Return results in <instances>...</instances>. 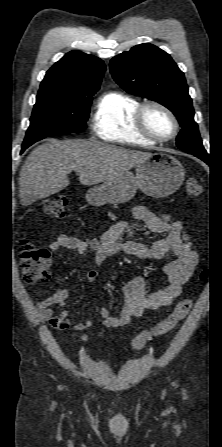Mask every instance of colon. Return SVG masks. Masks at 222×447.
<instances>
[{
	"mask_svg": "<svg viewBox=\"0 0 222 447\" xmlns=\"http://www.w3.org/2000/svg\"><path fill=\"white\" fill-rule=\"evenodd\" d=\"M200 192V186L195 179L192 178L186 182L185 193L187 196L196 197ZM44 212L55 218H64L67 215L66 197L59 196L46 202ZM18 252L19 265L25 283L34 285L48 279L51 260V253L48 249L38 247L27 240H22L19 244ZM203 278H207V271L204 272ZM191 308L192 301L190 299L179 301L164 319L141 331L133 339L132 348L141 350L152 337L170 332L188 315Z\"/></svg>",
	"mask_w": 222,
	"mask_h": 447,
	"instance_id": "colon-1",
	"label": "colon"
}]
</instances>
